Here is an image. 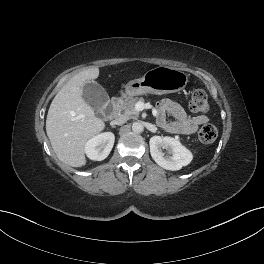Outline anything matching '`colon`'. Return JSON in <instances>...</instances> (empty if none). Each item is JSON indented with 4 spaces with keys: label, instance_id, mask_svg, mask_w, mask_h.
Instances as JSON below:
<instances>
[{
    "label": "colon",
    "instance_id": "5ec220e1",
    "mask_svg": "<svg viewBox=\"0 0 264 264\" xmlns=\"http://www.w3.org/2000/svg\"><path fill=\"white\" fill-rule=\"evenodd\" d=\"M208 99L206 93L201 89L192 92L189 101V108L194 113H204L208 110ZM217 137V129L212 124H205L198 133V138L202 143H211Z\"/></svg>",
    "mask_w": 264,
    "mask_h": 264
}]
</instances>
